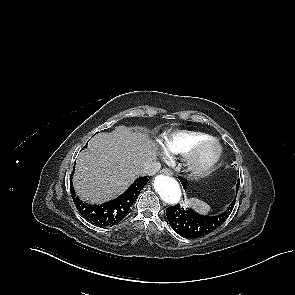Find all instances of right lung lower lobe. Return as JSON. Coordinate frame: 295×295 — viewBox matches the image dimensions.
<instances>
[{
    "mask_svg": "<svg viewBox=\"0 0 295 295\" xmlns=\"http://www.w3.org/2000/svg\"><path fill=\"white\" fill-rule=\"evenodd\" d=\"M146 176L138 178L122 195L102 205H90L83 203L72 193L73 201L81 215L89 222L99 226H111L120 222L128 213L130 207L137 199L141 189L146 185ZM70 189L72 177H70Z\"/></svg>",
    "mask_w": 295,
    "mask_h": 295,
    "instance_id": "1",
    "label": "right lung lower lobe"
}]
</instances>
